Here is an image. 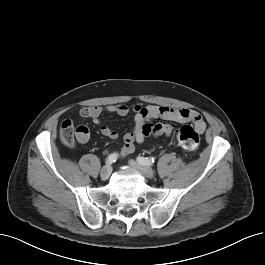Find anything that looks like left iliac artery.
Masks as SVG:
<instances>
[{
    "label": "left iliac artery",
    "instance_id": "left-iliac-artery-1",
    "mask_svg": "<svg viewBox=\"0 0 265 265\" xmlns=\"http://www.w3.org/2000/svg\"><path fill=\"white\" fill-rule=\"evenodd\" d=\"M137 161L139 162V164L141 165H145V166H151L153 165V163L155 162V158L151 157V158H145V157H138Z\"/></svg>",
    "mask_w": 265,
    "mask_h": 265
}]
</instances>
